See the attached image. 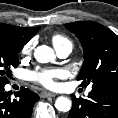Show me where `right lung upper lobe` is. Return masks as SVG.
<instances>
[{
    "instance_id": "cb5924a9",
    "label": "right lung upper lobe",
    "mask_w": 118,
    "mask_h": 118,
    "mask_svg": "<svg viewBox=\"0 0 118 118\" xmlns=\"http://www.w3.org/2000/svg\"><path fill=\"white\" fill-rule=\"evenodd\" d=\"M40 29V27H18L0 23V33L9 34L28 42Z\"/></svg>"
}]
</instances>
